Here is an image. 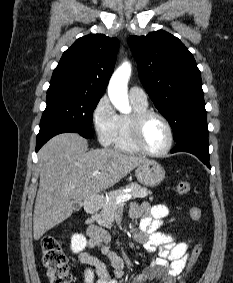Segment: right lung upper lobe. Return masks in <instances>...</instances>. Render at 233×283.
<instances>
[{
  "label": "right lung upper lobe",
  "instance_id": "obj_1",
  "mask_svg": "<svg viewBox=\"0 0 233 283\" xmlns=\"http://www.w3.org/2000/svg\"><path fill=\"white\" fill-rule=\"evenodd\" d=\"M119 41L90 34L75 41L53 71L50 87H62L102 96L114 70Z\"/></svg>",
  "mask_w": 233,
  "mask_h": 283
}]
</instances>
